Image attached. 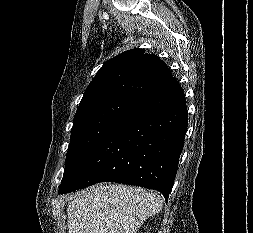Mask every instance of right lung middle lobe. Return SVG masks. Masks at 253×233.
I'll return each mask as SVG.
<instances>
[{"instance_id": "dd1d6c3e", "label": "right lung middle lobe", "mask_w": 253, "mask_h": 233, "mask_svg": "<svg viewBox=\"0 0 253 233\" xmlns=\"http://www.w3.org/2000/svg\"><path fill=\"white\" fill-rule=\"evenodd\" d=\"M135 100L110 98L78 108L71 130L63 180L127 113Z\"/></svg>"}]
</instances>
